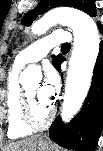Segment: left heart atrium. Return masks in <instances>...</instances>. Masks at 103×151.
Segmentation results:
<instances>
[{
    "mask_svg": "<svg viewBox=\"0 0 103 151\" xmlns=\"http://www.w3.org/2000/svg\"><path fill=\"white\" fill-rule=\"evenodd\" d=\"M59 89V78L57 73L49 68L46 72V78L44 82L40 85L39 94L41 99L51 104Z\"/></svg>",
    "mask_w": 103,
    "mask_h": 151,
    "instance_id": "left-heart-atrium-1",
    "label": "left heart atrium"
}]
</instances>
